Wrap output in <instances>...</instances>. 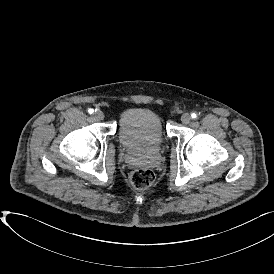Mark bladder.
<instances>
[{"instance_id":"obj_1","label":"bladder","mask_w":274,"mask_h":274,"mask_svg":"<svg viewBox=\"0 0 274 274\" xmlns=\"http://www.w3.org/2000/svg\"><path fill=\"white\" fill-rule=\"evenodd\" d=\"M117 138L123 147L130 150L158 149L166 140L164 121L152 107H130L120 117Z\"/></svg>"}]
</instances>
